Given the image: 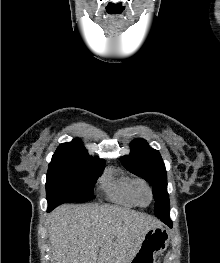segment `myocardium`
<instances>
[{
	"instance_id": "1",
	"label": "myocardium",
	"mask_w": 220,
	"mask_h": 263,
	"mask_svg": "<svg viewBox=\"0 0 220 263\" xmlns=\"http://www.w3.org/2000/svg\"><path fill=\"white\" fill-rule=\"evenodd\" d=\"M142 190L146 191L148 194L149 199H148L147 203H142L140 201V192ZM134 199H135L137 205H139V206H147L151 203V201L153 199V191H152V188L148 182H146L143 179H137L136 180L135 185H134Z\"/></svg>"
}]
</instances>
